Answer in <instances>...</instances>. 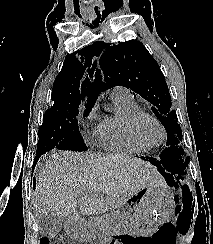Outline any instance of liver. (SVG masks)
I'll use <instances>...</instances> for the list:
<instances>
[{"instance_id":"obj_1","label":"liver","mask_w":213,"mask_h":244,"mask_svg":"<svg viewBox=\"0 0 213 244\" xmlns=\"http://www.w3.org/2000/svg\"><path fill=\"white\" fill-rule=\"evenodd\" d=\"M162 184L158 171L140 158L56 151L36 174V217L71 218L77 205L80 214L93 215Z\"/></svg>"}]
</instances>
